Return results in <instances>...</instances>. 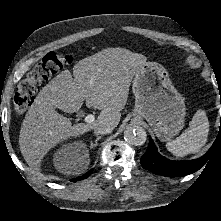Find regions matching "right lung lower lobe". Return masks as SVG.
<instances>
[{"mask_svg":"<svg viewBox=\"0 0 221 221\" xmlns=\"http://www.w3.org/2000/svg\"><path fill=\"white\" fill-rule=\"evenodd\" d=\"M91 173H92V170H90L89 172H87L86 174H84L83 176H81V177H79V178L72 179L71 181H77V180L85 179V178H87Z\"/></svg>","mask_w":221,"mask_h":221,"instance_id":"1","label":"right lung lower lobe"}]
</instances>
